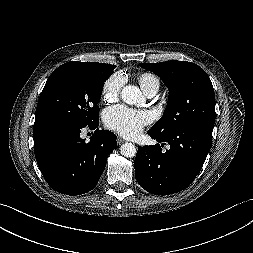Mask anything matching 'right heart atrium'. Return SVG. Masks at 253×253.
Instances as JSON below:
<instances>
[{
	"mask_svg": "<svg viewBox=\"0 0 253 253\" xmlns=\"http://www.w3.org/2000/svg\"><path fill=\"white\" fill-rule=\"evenodd\" d=\"M123 85V78L119 74L110 76L103 84L102 99L105 102H114L118 99Z\"/></svg>",
	"mask_w": 253,
	"mask_h": 253,
	"instance_id": "d8ad5b80",
	"label": "right heart atrium"
}]
</instances>
